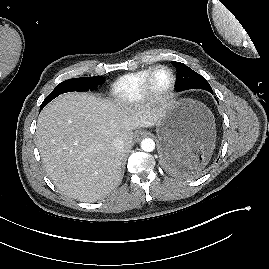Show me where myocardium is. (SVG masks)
I'll list each match as a JSON object with an SVG mask.
<instances>
[{"label":"myocardium","instance_id":"f54148a6","mask_svg":"<svg viewBox=\"0 0 269 269\" xmlns=\"http://www.w3.org/2000/svg\"><path fill=\"white\" fill-rule=\"evenodd\" d=\"M166 70L170 75V83L162 92H155L153 89V79L157 71ZM176 87V75L174 71L166 65H157L151 68L142 86V98L152 104H163L173 94Z\"/></svg>","mask_w":269,"mask_h":269}]
</instances>
